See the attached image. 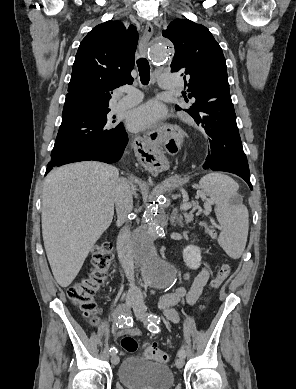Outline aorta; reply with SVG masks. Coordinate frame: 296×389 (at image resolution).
Wrapping results in <instances>:
<instances>
[{"label":"aorta","instance_id":"762f6f07","mask_svg":"<svg viewBox=\"0 0 296 389\" xmlns=\"http://www.w3.org/2000/svg\"><path fill=\"white\" fill-rule=\"evenodd\" d=\"M173 59L174 52L167 40L153 42L150 55L152 66H171ZM152 202L143 213L141 225L133 233L131 246L140 262L144 283L156 289H165L171 285L175 270L159 257L155 242L165 226L166 199L160 196Z\"/></svg>","mask_w":296,"mask_h":389}]
</instances>
